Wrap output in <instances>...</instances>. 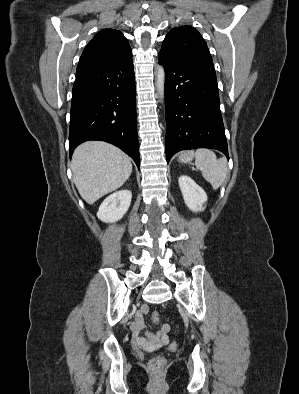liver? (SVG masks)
Masks as SVG:
<instances>
[{
	"instance_id": "6515ba94",
	"label": "liver",
	"mask_w": 299,
	"mask_h": 394,
	"mask_svg": "<svg viewBox=\"0 0 299 394\" xmlns=\"http://www.w3.org/2000/svg\"><path fill=\"white\" fill-rule=\"evenodd\" d=\"M71 169L81 197L93 204L102 196L120 188L132 172L131 159L117 147L89 141L74 151Z\"/></svg>"
}]
</instances>
